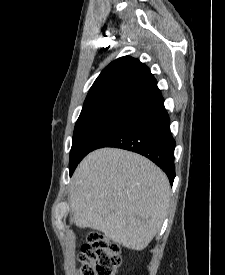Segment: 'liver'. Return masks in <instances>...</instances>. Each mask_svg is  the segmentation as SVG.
Segmentation results:
<instances>
[{
    "label": "liver",
    "instance_id": "obj_1",
    "mask_svg": "<svg viewBox=\"0 0 225 275\" xmlns=\"http://www.w3.org/2000/svg\"><path fill=\"white\" fill-rule=\"evenodd\" d=\"M72 221L132 250L148 246L166 217L170 184L147 158L118 148L89 153L69 191Z\"/></svg>",
    "mask_w": 225,
    "mask_h": 275
}]
</instances>
